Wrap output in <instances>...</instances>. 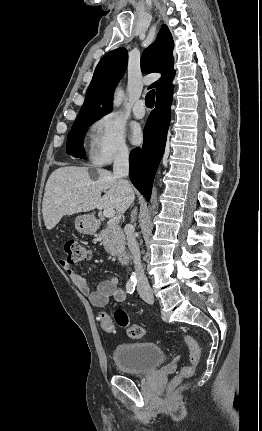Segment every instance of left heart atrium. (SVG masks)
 <instances>
[{
	"instance_id": "1",
	"label": "left heart atrium",
	"mask_w": 262,
	"mask_h": 431,
	"mask_svg": "<svg viewBox=\"0 0 262 431\" xmlns=\"http://www.w3.org/2000/svg\"><path fill=\"white\" fill-rule=\"evenodd\" d=\"M143 135L139 127H133L131 130V141L133 144L138 145L142 142Z\"/></svg>"
}]
</instances>
